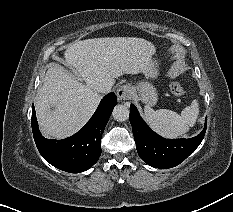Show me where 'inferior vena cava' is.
<instances>
[{"instance_id": "inferior-vena-cava-1", "label": "inferior vena cava", "mask_w": 233, "mask_h": 212, "mask_svg": "<svg viewBox=\"0 0 233 212\" xmlns=\"http://www.w3.org/2000/svg\"><path fill=\"white\" fill-rule=\"evenodd\" d=\"M110 89H111L110 84H103V85H99L96 90L99 93L106 94L110 92Z\"/></svg>"}]
</instances>
